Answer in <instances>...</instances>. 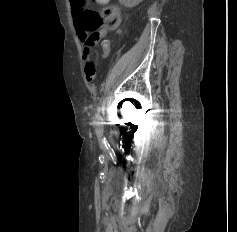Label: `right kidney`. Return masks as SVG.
<instances>
[{
  "label": "right kidney",
  "instance_id": "right-kidney-1",
  "mask_svg": "<svg viewBox=\"0 0 237 232\" xmlns=\"http://www.w3.org/2000/svg\"><path fill=\"white\" fill-rule=\"evenodd\" d=\"M143 0H119L121 4H123L127 8H133L137 6Z\"/></svg>",
  "mask_w": 237,
  "mask_h": 232
}]
</instances>
